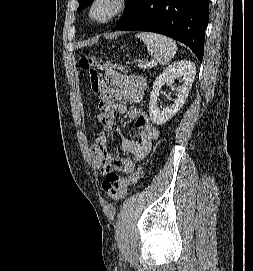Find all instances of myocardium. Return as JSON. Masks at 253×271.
I'll return each instance as SVG.
<instances>
[{
    "instance_id": "f54148a6",
    "label": "myocardium",
    "mask_w": 253,
    "mask_h": 271,
    "mask_svg": "<svg viewBox=\"0 0 253 271\" xmlns=\"http://www.w3.org/2000/svg\"><path fill=\"white\" fill-rule=\"evenodd\" d=\"M101 1L102 0H92L88 9L89 18L98 25H104L113 21L125 11L129 2V0H112L114 4L112 11L105 18L98 19L94 16V9Z\"/></svg>"
}]
</instances>
